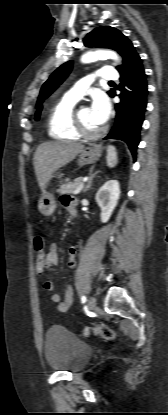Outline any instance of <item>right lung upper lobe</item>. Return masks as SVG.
Instances as JSON below:
<instances>
[{"instance_id": "cb5924a9", "label": "right lung upper lobe", "mask_w": 168, "mask_h": 415, "mask_svg": "<svg viewBox=\"0 0 168 415\" xmlns=\"http://www.w3.org/2000/svg\"><path fill=\"white\" fill-rule=\"evenodd\" d=\"M40 111H41V109H39V110L37 111L36 115H37V114H40Z\"/></svg>"}]
</instances>
